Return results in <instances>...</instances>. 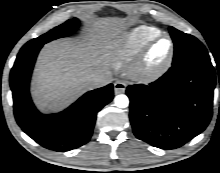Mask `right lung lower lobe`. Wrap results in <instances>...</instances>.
Wrapping results in <instances>:
<instances>
[{"label": "right lung lower lobe", "instance_id": "right-lung-lower-lobe-1", "mask_svg": "<svg viewBox=\"0 0 220 173\" xmlns=\"http://www.w3.org/2000/svg\"><path fill=\"white\" fill-rule=\"evenodd\" d=\"M41 47L21 49L11 70L10 86L16 121L29 137L47 149H76L90 139L97 113L113 99V85L87 92L61 113L41 114L29 93L32 69Z\"/></svg>", "mask_w": 220, "mask_h": 173}]
</instances>
